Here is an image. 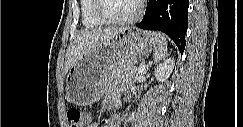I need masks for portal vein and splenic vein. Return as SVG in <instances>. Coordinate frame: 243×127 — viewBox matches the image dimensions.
I'll return each instance as SVG.
<instances>
[{"label":"portal vein and splenic vein","mask_w":243,"mask_h":127,"mask_svg":"<svg viewBox=\"0 0 243 127\" xmlns=\"http://www.w3.org/2000/svg\"><path fill=\"white\" fill-rule=\"evenodd\" d=\"M138 72H139L140 74H143V73L145 72V67H144V66L139 67V68H138Z\"/></svg>","instance_id":"18ae733b"}]
</instances>
